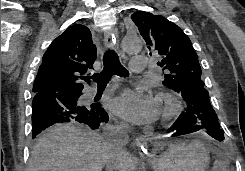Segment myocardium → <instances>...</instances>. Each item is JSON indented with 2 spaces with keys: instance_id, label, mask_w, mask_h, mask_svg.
Wrapping results in <instances>:
<instances>
[{
  "instance_id": "1",
  "label": "myocardium",
  "mask_w": 245,
  "mask_h": 171,
  "mask_svg": "<svg viewBox=\"0 0 245 171\" xmlns=\"http://www.w3.org/2000/svg\"><path fill=\"white\" fill-rule=\"evenodd\" d=\"M157 99L162 106L161 120L163 123L171 121L180 113L182 109V102L175 93L160 92Z\"/></svg>"
}]
</instances>
